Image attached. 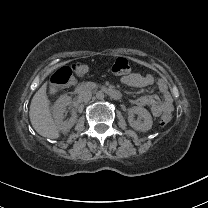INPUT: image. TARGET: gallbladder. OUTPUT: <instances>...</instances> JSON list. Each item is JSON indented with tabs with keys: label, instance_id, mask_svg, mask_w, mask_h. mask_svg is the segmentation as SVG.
<instances>
[{
	"label": "gallbladder",
	"instance_id": "1",
	"mask_svg": "<svg viewBox=\"0 0 208 208\" xmlns=\"http://www.w3.org/2000/svg\"><path fill=\"white\" fill-rule=\"evenodd\" d=\"M52 89H53L54 91H57V90L59 89V86H58L57 84H54V85L52 86Z\"/></svg>",
	"mask_w": 208,
	"mask_h": 208
}]
</instances>
